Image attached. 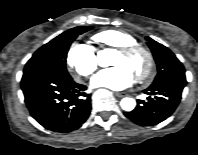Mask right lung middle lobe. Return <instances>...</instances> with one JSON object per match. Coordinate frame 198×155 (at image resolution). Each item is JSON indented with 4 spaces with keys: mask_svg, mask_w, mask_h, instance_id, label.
Listing matches in <instances>:
<instances>
[{
    "mask_svg": "<svg viewBox=\"0 0 198 155\" xmlns=\"http://www.w3.org/2000/svg\"><path fill=\"white\" fill-rule=\"evenodd\" d=\"M91 29V26H78L60 34L33 54L23 73L45 72L61 78H71L65 67L69 46L78 35Z\"/></svg>",
    "mask_w": 198,
    "mask_h": 155,
    "instance_id": "right-lung-middle-lobe-1",
    "label": "right lung middle lobe"
}]
</instances>
